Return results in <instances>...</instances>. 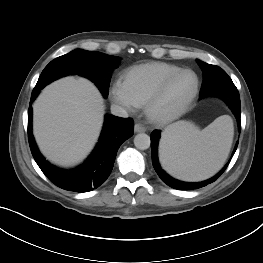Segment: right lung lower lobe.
<instances>
[{"instance_id":"obj_1","label":"right lung lower lobe","mask_w":263,"mask_h":263,"mask_svg":"<svg viewBox=\"0 0 263 263\" xmlns=\"http://www.w3.org/2000/svg\"><path fill=\"white\" fill-rule=\"evenodd\" d=\"M41 89L34 88L31 102ZM28 109V139L32 155L46 177L58 187L75 192H88L99 187L110 175L121 144L133 135L131 118L105 116L101 137L84 164L74 170H62L48 163L40 154L32 135V107Z\"/></svg>"}]
</instances>
